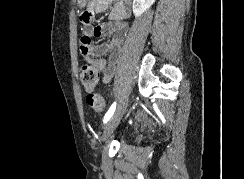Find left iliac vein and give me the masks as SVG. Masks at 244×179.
Instances as JSON below:
<instances>
[{"instance_id": "obj_1", "label": "left iliac vein", "mask_w": 244, "mask_h": 179, "mask_svg": "<svg viewBox=\"0 0 244 179\" xmlns=\"http://www.w3.org/2000/svg\"><path fill=\"white\" fill-rule=\"evenodd\" d=\"M129 101V95H127L122 103L119 105L115 113L112 115V117L109 119V121L104 126L103 134H102V141L106 142L108 138L112 135L115 128L119 124L123 114L125 113Z\"/></svg>"}]
</instances>
